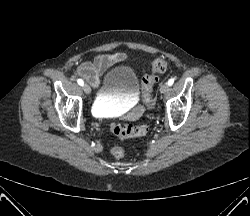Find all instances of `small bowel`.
<instances>
[{"mask_svg":"<svg viewBox=\"0 0 250 216\" xmlns=\"http://www.w3.org/2000/svg\"><path fill=\"white\" fill-rule=\"evenodd\" d=\"M126 59L127 55L124 53L103 54L94 60L79 65L76 69V73L93 87H98L100 84V76L113 65Z\"/></svg>","mask_w":250,"mask_h":216,"instance_id":"c3829d8e","label":"small bowel"}]
</instances>
